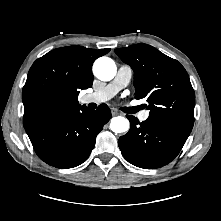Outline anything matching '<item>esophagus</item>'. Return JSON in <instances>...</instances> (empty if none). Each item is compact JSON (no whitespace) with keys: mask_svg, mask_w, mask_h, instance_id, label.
<instances>
[{"mask_svg":"<svg viewBox=\"0 0 221 221\" xmlns=\"http://www.w3.org/2000/svg\"><path fill=\"white\" fill-rule=\"evenodd\" d=\"M112 114L113 115H119L121 113L117 109H112Z\"/></svg>","mask_w":221,"mask_h":221,"instance_id":"34e87169","label":"esophagus"}]
</instances>
